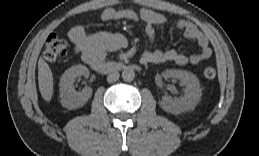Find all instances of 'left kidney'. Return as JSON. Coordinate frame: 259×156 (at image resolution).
Instances as JSON below:
<instances>
[{
	"instance_id": "5707ae66",
	"label": "left kidney",
	"mask_w": 259,
	"mask_h": 156,
	"mask_svg": "<svg viewBox=\"0 0 259 156\" xmlns=\"http://www.w3.org/2000/svg\"><path fill=\"white\" fill-rule=\"evenodd\" d=\"M164 78H174L182 81L185 85L184 95L178 99L165 95L160 101L161 108L171 114H180L194 108L200 101L202 90L198 78L185 70H166Z\"/></svg>"
}]
</instances>
